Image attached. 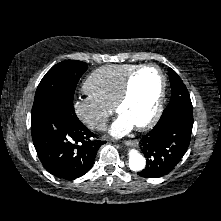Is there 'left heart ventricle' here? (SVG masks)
Instances as JSON below:
<instances>
[{"instance_id": "1", "label": "left heart ventricle", "mask_w": 221, "mask_h": 221, "mask_svg": "<svg viewBox=\"0 0 221 221\" xmlns=\"http://www.w3.org/2000/svg\"><path fill=\"white\" fill-rule=\"evenodd\" d=\"M161 89V77L154 68L139 72L133 82L131 95L120 108V114L135 126L145 123L153 115Z\"/></svg>"}]
</instances>
